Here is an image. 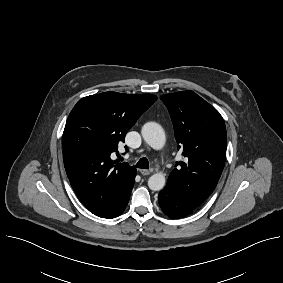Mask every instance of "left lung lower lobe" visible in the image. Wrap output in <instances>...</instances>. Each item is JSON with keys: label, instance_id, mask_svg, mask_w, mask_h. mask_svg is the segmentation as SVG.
<instances>
[{"label": "left lung lower lobe", "instance_id": "0a47b994", "mask_svg": "<svg viewBox=\"0 0 283 283\" xmlns=\"http://www.w3.org/2000/svg\"><path fill=\"white\" fill-rule=\"evenodd\" d=\"M158 201L162 211L170 218L189 215L196 208L189 204L170 183L159 193Z\"/></svg>", "mask_w": 283, "mask_h": 283}]
</instances>
